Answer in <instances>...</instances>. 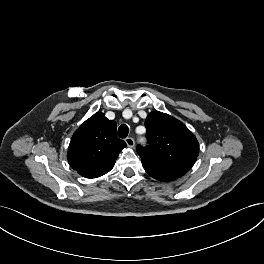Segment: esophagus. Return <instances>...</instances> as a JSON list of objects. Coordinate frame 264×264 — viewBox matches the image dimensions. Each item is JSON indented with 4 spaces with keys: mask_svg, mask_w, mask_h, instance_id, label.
Here are the masks:
<instances>
[{
    "mask_svg": "<svg viewBox=\"0 0 264 264\" xmlns=\"http://www.w3.org/2000/svg\"><path fill=\"white\" fill-rule=\"evenodd\" d=\"M128 147H134L135 141L132 137H127L125 140Z\"/></svg>",
    "mask_w": 264,
    "mask_h": 264,
    "instance_id": "34e87169",
    "label": "esophagus"
}]
</instances>
